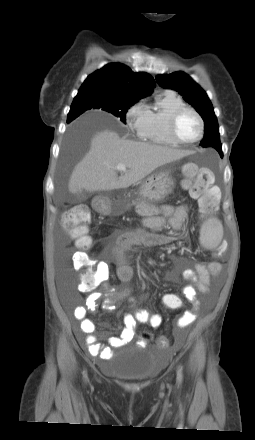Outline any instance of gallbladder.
Here are the masks:
<instances>
[{
  "label": "gallbladder",
  "instance_id": "obj_1",
  "mask_svg": "<svg viewBox=\"0 0 255 440\" xmlns=\"http://www.w3.org/2000/svg\"><path fill=\"white\" fill-rule=\"evenodd\" d=\"M87 199V196L82 192H77L73 195V202H81L85 201Z\"/></svg>",
  "mask_w": 255,
  "mask_h": 440
}]
</instances>
